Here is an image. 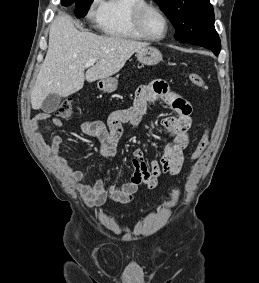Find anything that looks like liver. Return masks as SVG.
<instances>
[{"label":"liver","instance_id":"liver-1","mask_svg":"<svg viewBox=\"0 0 259 283\" xmlns=\"http://www.w3.org/2000/svg\"><path fill=\"white\" fill-rule=\"evenodd\" d=\"M148 43L117 36L80 32L69 15L57 16L50 27L46 57L31 93L34 110L51 94L67 97L81 90L84 81L94 82L118 73L126 61ZM97 59L86 73L85 63Z\"/></svg>","mask_w":259,"mask_h":283}]
</instances>
